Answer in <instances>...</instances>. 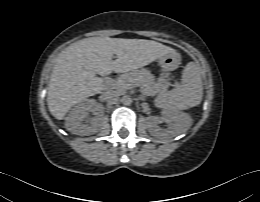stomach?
Segmentation results:
<instances>
[{
	"label": "stomach",
	"mask_w": 260,
	"mask_h": 202,
	"mask_svg": "<svg viewBox=\"0 0 260 202\" xmlns=\"http://www.w3.org/2000/svg\"><path fill=\"white\" fill-rule=\"evenodd\" d=\"M179 63L180 58L175 52L168 53L159 58V64L165 76H167L171 71L175 70L179 66Z\"/></svg>",
	"instance_id": "0dacf381"
}]
</instances>
